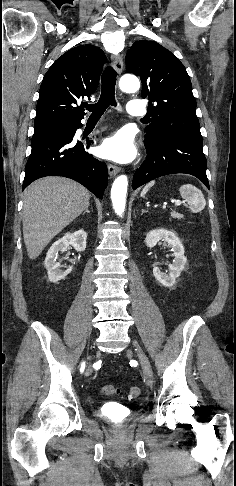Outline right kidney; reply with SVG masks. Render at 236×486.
<instances>
[{
	"label": "right kidney",
	"instance_id": "obj_1",
	"mask_svg": "<svg viewBox=\"0 0 236 486\" xmlns=\"http://www.w3.org/2000/svg\"><path fill=\"white\" fill-rule=\"evenodd\" d=\"M86 238V232L81 229L74 233L65 234L61 239L52 244L44 261L50 282L57 283L72 271V267H69L65 271L60 270V263L56 261L58 252H65L69 245H72L76 251L82 252L86 249Z\"/></svg>",
	"mask_w": 236,
	"mask_h": 486
}]
</instances>
